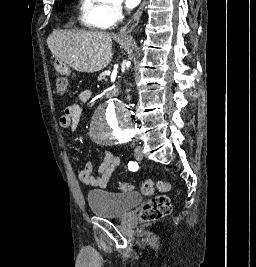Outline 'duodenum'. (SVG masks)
Segmentation results:
<instances>
[{
    "label": "duodenum",
    "mask_w": 256,
    "mask_h": 267,
    "mask_svg": "<svg viewBox=\"0 0 256 267\" xmlns=\"http://www.w3.org/2000/svg\"><path fill=\"white\" fill-rule=\"evenodd\" d=\"M56 71H59V73H70V68H67V66H56ZM103 93L106 94V99H113L114 98V89H104Z\"/></svg>",
    "instance_id": "obj_1"
}]
</instances>
